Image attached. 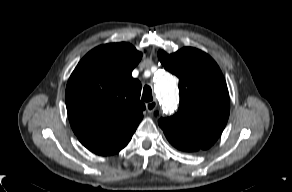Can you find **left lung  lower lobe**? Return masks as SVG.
Segmentation results:
<instances>
[{"mask_svg":"<svg viewBox=\"0 0 292 192\" xmlns=\"http://www.w3.org/2000/svg\"><path fill=\"white\" fill-rule=\"evenodd\" d=\"M174 147H176L179 150L182 151H187V152H192V151H197L198 149H195L193 147L190 146H186V145H180V144H175V143H171Z\"/></svg>","mask_w":292,"mask_h":192,"instance_id":"left-lung-lower-lobe-1","label":"left lung lower lobe"}]
</instances>
